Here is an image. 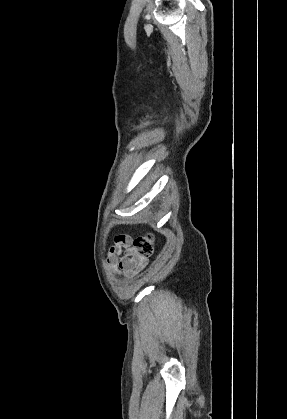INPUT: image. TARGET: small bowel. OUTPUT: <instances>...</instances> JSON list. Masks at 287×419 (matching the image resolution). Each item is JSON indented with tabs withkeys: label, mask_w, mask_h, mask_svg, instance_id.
Wrapping results in <instances>:
<instances>
[{
	"label": "small bowel",
	"mask_w": 287,
	"mask_h": 419,
	"mask_svg": "<svg viewBox=\"0 0 287 419\" xmlns=\"http://www.w3.org/2000/svg\"><path fill=\"white\" fill-rule=\"evenodd\" d=\"M131 241L130 235H116L107 258L108 265L127 279L135 277L146 264V260L139 257L131 246Z\"/></svg>",
	"instance_id": "1"
}]
</instances>
